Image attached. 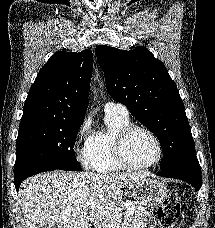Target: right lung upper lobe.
<instances>
[{
	"label": "right lung upper lobe",
	"instance_id": "cb5924a9",
	"mask_svg": "<svg viewBox=\"0 0 215 228\" xmlns=\"http://www.w3.org/2000/svg\"><path fill=\"white\" fill-rule=\"evenodd\" d=\"M92 69L90 50L51 56L29 90L19 128L83 121Z\"/></svg>",
	"mask_w": 215,
	"mask_h": 228
}]
</instances>
